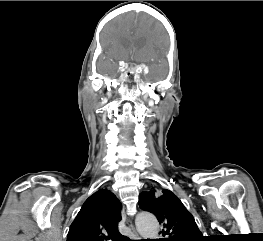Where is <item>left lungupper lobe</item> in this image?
Instances as JSON below:
<instances>
[{"instance_id":"left-lung-upper-lobe-1","label":"left lung upper lobe","mask_w":263,"mask_h":241,"mask_svg":"<svg viewBox=\"0 0 263 241\" xmlns=\"http://www.w3.org/2000/svg\"><path fill=\"white\" fill-rule=\"evenodd\" d=\"M140 208L153 213L162 225V241H204L192 214L170 190L142 192ZM161 233V232H160Z\"/></svg>"}]
</instances>
